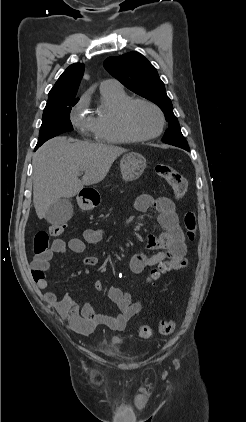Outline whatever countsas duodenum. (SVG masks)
I'll use <instances>...</instances> for the list:
<instances>
[{"instance_id": "410a0bca", "label": "duodenum", "mask_w": 246, "mask_h": 422, "mask_svg": "<svg viewBox=\"0 0 246 422\" xmlns=\"http://www.w3.org/2000/svg\"><path fill=\"white\" fill-rule=\"evenodd\" d=\"M84 199H85V202L91 206H96L99 202L98 198L93 195L85 196Z\"/></svg>"}]
</instances>
